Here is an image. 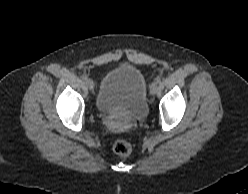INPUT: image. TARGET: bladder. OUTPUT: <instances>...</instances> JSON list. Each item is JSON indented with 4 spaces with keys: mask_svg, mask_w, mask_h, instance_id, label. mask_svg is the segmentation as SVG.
Segmentation results:
<instances>
[{
    "mask_svg": "<svg viewBox=\"0 0 248 194\" xmlns=\"http://www.w3.org/2000/svg\"><path fill=\"white\" fill-rule=\"evenodd\" d=\"M95 106L109 113L123 111L129 120H142L148 113L145 78L134 65H122L105 74L98 90Z\"/></svg>",
    "mask_w": 248,
    "mask_h": 194,
    "instance_id": "1",
    "label": "bladder"
}]
</instances>
